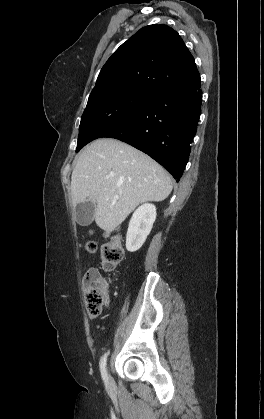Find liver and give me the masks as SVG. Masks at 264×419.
<instances>
[{
    "label": "liver",
    "mask_w": 264,
    "mask_h": 419,
    "mask_svg": "<svg viewBox=\"0 0 264 419\" xmlns=\"http://www.w3.org/2000/svg\"><path fill=\"white\" fill-rule=\"evenodd\" d=\"M172 187L169 174L152 158L124 142L103 138L85 147L76 162L72 205L92 201L97 226L112 232L139 204L165 200Z\"/></svg>",
    "instance_id": "liver-1"
}]
</instances>
